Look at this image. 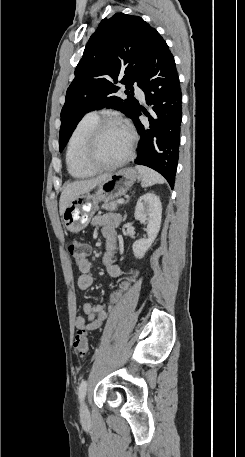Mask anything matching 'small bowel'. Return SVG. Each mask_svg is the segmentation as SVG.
Instances as JSON below:
<instances>
[{"mask_svg": "<svg viewBox=\"0 0 245 457\" xmlns=\"http://www.w3.org/2000/svg\"><path fill=\"white\" fill-rule=\"evenodd\" d=\"M120 216L115 213H106L98 215L93 219V225L100 227L103 237L107 241L108 251L103 256L102 261L106 271L111 277H124L119 288L111 295L108 304L112 305L118 302L122 295L136 282L139 272L131 268L124 271L115 262V257L112 252L115 244L116 228L120 224ZM91 263L85 259L78 262V270L80 275L77 280V285L81 290H88L93 284V278L90 275ZM82 309L86 315L77 316L75 326L77 329L92 331L98 329L107 317L106 307L104 304L92 305L88 302L82 303Z\"/></svg>", "mask_w": 245, "mask_h": 457, "instance_id": "c3829d8e", "label": "small bowel"}]
</instances>
